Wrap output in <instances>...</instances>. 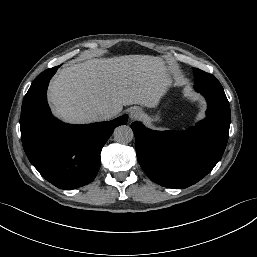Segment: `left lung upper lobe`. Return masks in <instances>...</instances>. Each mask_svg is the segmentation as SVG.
<instances>
[{
  "mask_svg": "<svg viewBox=\"0 0 257 257\" xmlns=\"http://www.w3.org/2000/svg\"><path fill=\"white\" fill-rule=\"evenodd\" d=\"M194 77V88L197 91L224 92L220 82L213 75L195 68Z\"/></svg>",
  "mask_w": 257,
  "mask_h": 257,
  "instance_id": "1",
  "label": "left lung upper lobe"
}]
</instances>
